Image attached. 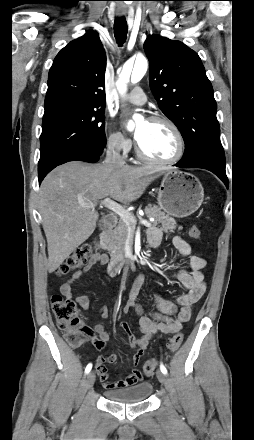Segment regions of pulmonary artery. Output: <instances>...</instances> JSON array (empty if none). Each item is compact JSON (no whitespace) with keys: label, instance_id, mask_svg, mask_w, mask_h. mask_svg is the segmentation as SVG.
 Returning a JSON list of instances; mask_svg holds the SVG:
<instances>
[{"label":"pulmonary artery","instance_id":"pulmonary-artery-1","mask_svg":"<svg viewBox=\"0 0 254 440\" xmlns=\"http://www.w3.org/2000/svg\"><path fill=\"white\" fill-rule=\"evenodd\" d=\"M125 100L133 104L142 105L146 102V96L141 87H135L127 96Z\"/></svg>","mask_w":254,"mask_h":440}]
</instances>
